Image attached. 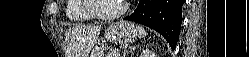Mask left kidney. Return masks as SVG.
I'll return each instance as SVG.
<instances>
[{
    "label": "left kidney",
    "instance_id": "left-kidney-1",
    "mask_svg": "<svg viewBox=\"0 0 249 57\" xmlns=\"http://www.w3.org/2000/svg\"><path fill=\"white\" fill-rule=\"evenodd\" d=\"M140 57H157V55L149 49H144L140 54Z\"/></svg>",
    "mask_w": 249,
    "mask_h": 57
}]
</instances>
